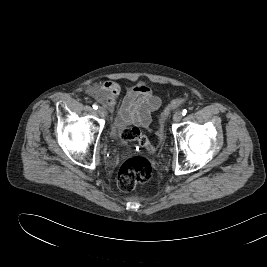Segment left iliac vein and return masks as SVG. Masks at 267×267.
<instances>
[{
	"label": "left iliac vein",
	"instance_id": "left-iliac-vein-1",
	"mask_svg": "<svg viewBox=\"0 0 267 267\" xmlns=\"http://www.w3.org/2000/svg\"><path fill=\"white\" fill-rule=\"evenodd\" d=\"M182 112H180V111H178V112H176L175 114H174V116H173V120H174V122H179V121H181V119H182Z\"/></svg>",
	"mask_w": 267,
	"mask_h": 267
}]
</instances>
